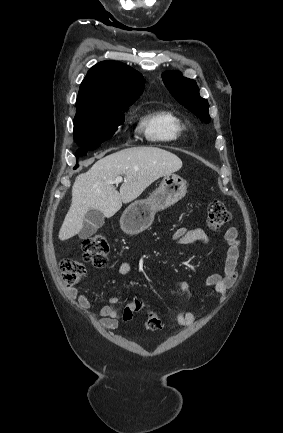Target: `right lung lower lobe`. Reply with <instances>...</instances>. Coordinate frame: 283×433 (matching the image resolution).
I'll use <instances>...</instances> for the list:
<instances>
[{
	"mask_svg": "<svg viewBox=\"0 0 283 433\" xmlns=\"http://www.w3.org/2000/svg\"><path fill=\"white\" fill-rule=\"evenodd\" d=\"M78 167V164L74 167V169H76Z\"/></svg>",
	"mask_w": 283,
	"mask_h": 433,
	"instance_id": "obj_1",
	"label": "right lung lower lobe"
}]
</instances>
